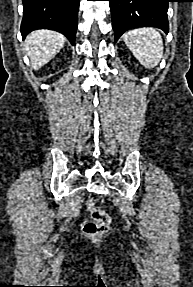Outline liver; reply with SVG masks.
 <instances>
[{"label":"liver","instance_id":"liver-1","mask_svg":"<svg viewBox=\"0 0 193 287\" xmlns=\"http://www.w3.org/2000/svg\"><path fill=\"white\" fill-rule=\"evenodd\" d=\"M66 38L55 31L36 30L25 40L27 55L37 70L53 59L63 48Z\"/></svg>","mask_w":193,"mask_h":287}]
</instances>
